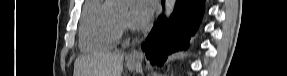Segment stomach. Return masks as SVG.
I'll list each match as a JSON object with an SVG mask.
<instances>
[{"mask_svg": "<svg viewBox=\"0 0 287 76\" xmlns=\"http://www.w3.org/2000/svg\"><path fill=\"white\" fill-rule=\"evenodd\" d=\"M138 65H139V62L133 61L131 59H127L126 66L129 70L135 69L136 67H138Z\"/></svg>", "mask_w": 287, "mask_h": 76, "instance_id": "obj_1", "label": "stomach"}]
</instances>
